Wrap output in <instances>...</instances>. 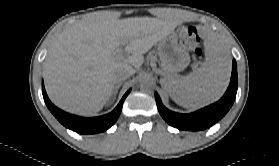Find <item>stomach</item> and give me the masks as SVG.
Here are the masks:
<instances>
[{"label":"stomach","mask_w":279,"mask_h":166,"mask_svg":"<svg viewBox=\"0 0 279 166\" xmlns=\"http://www.w3.org/2000/svg\"><path fill=\"white\" fill-rule=\"evenodd\" d=\"M158 56L167 77L184 70L190 62L189 53L178 43V37L173 32L158 42Z\"/></svg>","instance_id":"stomach-1"}]
</instances>
